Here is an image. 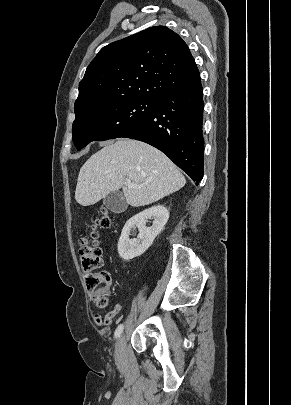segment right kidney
<instances>
[{"instance_id": "right-kidney-1", "label": "right kidney", "mask_w": 291, "mask_h": 405, "mask_svg": "<svg viewBox=\"0 0 291 405\" xmlns=\"http://www.w3.org/2000/svg\"><path fill=\"white\" fill-rule=\"evenodd\" d=\"M168 218L169 212L163 205L153 206L130 218L123 227L118 241L119 256L129 261L142 255L152 245L155 237L163 230ZM148 219H153L151 227L146 226ZM135 228H138V237L130 239V232Z\"/></svg>"}]
</instances>
